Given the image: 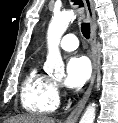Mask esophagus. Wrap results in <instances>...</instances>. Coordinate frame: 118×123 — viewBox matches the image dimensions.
<instances>
[{"mask_svg":"<svg viewBox=\"0 0 118 123\" xmlns=\"http://www.w3.org/2000/svg\"><path fill=\"white\" fill-rule=\"evenodd\" d=\"M83 2H84L86 13H87V19L90 22V26H91L90 44H91V59H92V76H91L89 87L87 88L84 95L77 103L74 110L67 117L65 121L66 123H75L78 120L82 110L85 107L87 100L90 97V94H91V91L94 85L95 77H96V72H97V48H96V28L97 26H96L94 3L92 0H83Z\"/></svg>","mask_w":118,"mask_h":123,"instance_id":"34e87169","label":"esophagus"}]
</instances>
